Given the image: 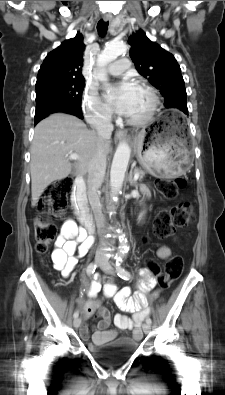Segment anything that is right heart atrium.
I'll use <instances>...</instances> for the list:
<instances>
[{
    "mask_svg": "<svg viewBox=\"0 0 225 395\" xmlns=\"http://www.w3.org/2000/svg\"><path fill=\"white\" fill-rule=\"evenodd\" d=\"M83 112L87 121L92 124H106L111 120L110 112L92 88H87L84 92Z\"/></svg>",
    "mask_w": 225,
    "mask_h": 395,
    "instance_id": "right-heart-atrium-1",
    "label": "right heart atrium"
}]
</instances>
